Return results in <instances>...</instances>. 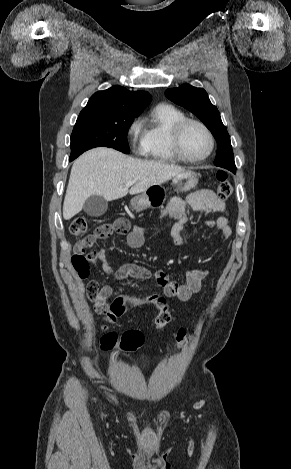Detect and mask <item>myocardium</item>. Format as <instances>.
Segmentation results:
<instances>
[{"label":"myocardium","instance_id":"obj_1","mask_svg":"<svg viewBox=\"0 0 291 469\" xmlns=\"http://www.w3.org/2000/svg\"><path fill=\"white\" fill-rule=\"evenodd\" d=\"M190 124H195L199 126L200 128H202V130L206 133L209 139L208 151L202 157H199V158H190L186 156L182 149V135H183L185 128ZM170 143H171L172 151L178 160L186 162V163L197 164V163L204 162L206 159L210 157L215 147V138L211 130L203 122L194 118L185 117L184 119L178 121L173 126L171 130V134H170Z\"/></svg>","mask_w":291,"mask_h":469}]
</instances>
